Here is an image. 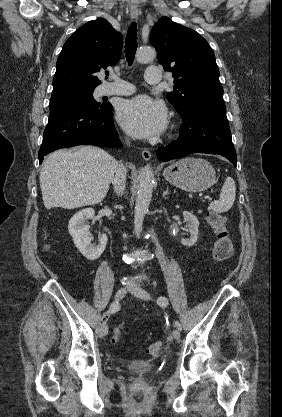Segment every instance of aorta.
Instances as JSON below:
<instances>
[{
	"label": "aorta",
	"mask_w": 282,
	"mask_h": 417,
	"mask_svg": "<svg viewBox=\"0 0 282 417\" xmlns=\"http://www.w3.org/2000/svg\"><path fill=\"white\" fill-rule=\"evenodd\" d=\"M156 50L151 46H142L137 48L136 58L138 62H147L155 58ZM154 186V170L152 168H146L138 186V192L135 200L134 211V231L135 233H141L143 227V221L146 213H148L150 200L152 198Z\"/></svg>",
	"instance_id": "1"
}]
</instances>
